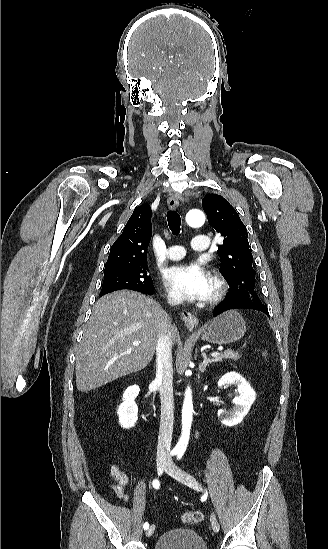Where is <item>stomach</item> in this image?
Here are the masks:
<instances>
[{
    "label": "stomach",
    "mask_w": 328,
    "mask_h": 549,
    "mask_svg": "<svg viewBox=\"0 0 328 549\" xmlns=\"http://www.w3.org/2000/svg\"><path fill=\"white\" fill-rule=\"evenodd\" d=\"M246 333V323L237 309L225 311L215 317L202 333V341L214 345H228L242 339Z\"/></svg>",
    "instance_id": "stomach-1"
}]
</instances>
